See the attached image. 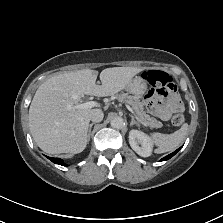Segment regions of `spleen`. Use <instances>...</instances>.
Returning <instances> with one entry per match:
<instances>
[{
  "label": "spleen",
  "instance_id": "obj_1",
  "mask_svg": "<svg viewBox=\"0 0 223 223\" xmlns=\"http://www.w3.org/2000/svg\"><path fill=\"white\" fill-rule=\"evenodd\" d=\"M188 125H184L180 130L172 135L156 134L155 139L161 147L156 150L157 153H166L175 150L186 136Z\"/></svg>",
  "mask_w": 223,
  "mask_h": 223
}]
</instances>
